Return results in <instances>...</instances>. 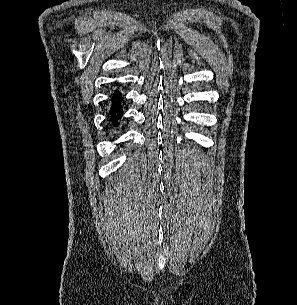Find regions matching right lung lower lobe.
Returning <instances> with one entry per match:
<instances>
[{
	"mask_svg": "<svg viewBox=\"0 0 297 305\" xmlns=\"http://www.w3.org/2000/svg\"><path fill=\"white\" fill-rule=\"evenodd\" d=\"M121 99H122L121 93L118 90L115 91L113 95L112 108H111V117L114 125L117 124L118 119L121 118L123 113L120 106Z\"/></svg>",
	"mask_w": 297,
	"mask_h": 305,
	"instance_id": "98d812e1",
	"label": "right lung lower lobe"
}]
</instances>
